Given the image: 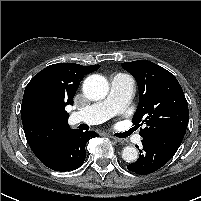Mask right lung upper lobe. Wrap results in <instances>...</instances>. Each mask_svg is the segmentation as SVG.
<instances>
[{
	"mask_svg": "<svg viewBox=\"0 0 201 201\" xmlns=\"http://www.w3.org/2000/svg\"><path fill=\"white\" fill-rule=\"evenodd\" d=\"M99 68L100 65L57 63L40 71L28 83L23 95L21 118L33 152L48 147L72 130L64 108L73 103L84 76Z\"/></svg>",
	"mask_w": 201,
	"mask_h": 201,
	"instance_id": "right-lung-upper-lobe-1",
	"label": "right lung upper lobe"
}]
</instances>
